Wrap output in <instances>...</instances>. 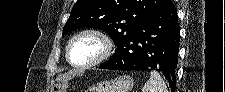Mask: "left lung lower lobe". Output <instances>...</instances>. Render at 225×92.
<instances>
[{
  "label": "left lung lower lobe",
  "mask_w": 225,
  "mask_h": 92,
  "mask_svg": "<svg viewBox=\"0 0 225 92\" xmlns=\"http://www.w3.org/2000/svg\"><path fill=\"white\" fill-rule=\"evenodd\" d=\"M179 35L176 8L171 0H167L140 25L134 36L99 68L161 71L174 91Z\"/></svg>",
  "instance_id": "obj_1"
}]
</instances>
